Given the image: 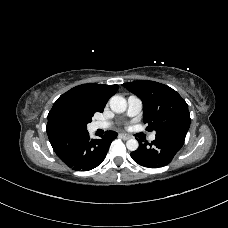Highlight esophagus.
Listing matches in <instances>:
<instances>
[{
  "label": "esophagus",
  "instance_id": "34e87169",
  "mask_svg": "<svg viewBox=\"0 0 228 228\" xmlns=\"http://www.w3.org/2000/svg\"><path fill=\"white\" fill-rule=\"evenodd\" d=\"M120 137L124 140H128L131 138V136L129 134H126V133H121L120 134Z\"/></svg>",
  "mask_w": 228,
  "mask_h": 228
}]
</instances>
